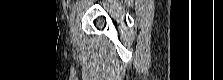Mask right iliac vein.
Listing matches in <instances>:
<instances>
[{
    "mask_svg": "<svg viewBox=\"0 0 223 80\" xmlns=\"http://www.w3.org/2000/svg\"><path fill=\"white\" fill-rule=\"evenodd\" d=\"M71 36L73 39L76 38V24L73 23L72 27H71Z\"/></svg>",
    "mask_w": 223,
    "mask_h": 80,
    "instance_id": "right-iliac-vein-1",
    "label": "right iliac vein"
}]
</instances>
